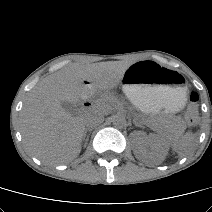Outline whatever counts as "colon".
I'll use <instances>...</instances> for the list:
<instances>
[{
    "instance_id": "obj_1",
    "label": "colon",
    "mask_w": 212,
    "mask_h": 212,
    "mask_svg": "<svg viewBox=\"0 0 212 212\" xmlns=\"http://www.w3.org/2000/svg\"><path fill=\"white\" fill-rule=\"evenodd\" d=\"M188 105L186 109V121L188 124L193 125L198 120V95L195 91L189 90L188 91Z\"/></svg>"
}]
</instances>
